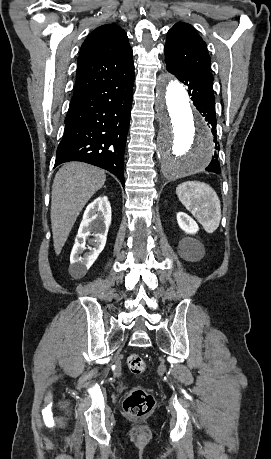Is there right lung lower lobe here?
<instances>
[{"mask_svg": "<svg viewBox=\"0 0 271 459\" xmlns=\"http://www.w3.org/2000/svg\"><path fill=\"white\" fill-rule=\"evenodd\" d=\"M134 73L120 76L70 103L55 166L82 161L116 175L124 185L123 160Z\"/></svg>", "mask_w": 271, "mask_h": 459, "instance_id": "98d812e1", "label": "right lung lower lobe"}]
</instances>
